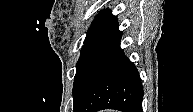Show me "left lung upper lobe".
<instances>
[{"label": "left lung upper lobe", "mask_w": 193, "mask_h": 112, "mask_svg": "<svg viewBox=\"0 0 193 112\" xmlns=\"http://www.w3.org/2000/svg\"><path fill=\"white\" fill-rule=\"evenodd\" d=\"M114 19L115 16L111 14L110 10H104L98 14L87 32L83 48L96 34L108 26Z\"/></svg>", "instance_id": "obj_1"}]
</instances>
